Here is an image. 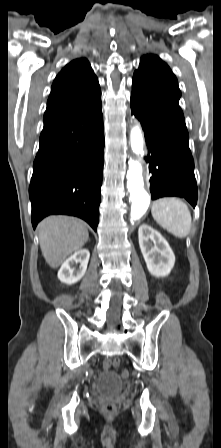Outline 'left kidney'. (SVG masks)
Returning <instances> with one entry per match:
<instances>
[{
  "label": "left kidney",
  "instance_id": "1",
  "mask_svg": "<svg viewBox=\"0 0 221 448\" xmlns=\"http://www.w3.org/2000/svg\"><path fill=\"white\" fill-rule=\"evenodd\" d=\"M138 237L149 272L155 277L169 275L175 264V255L166 239L146 224L140 226Z\"/></svg>",
  "mask_w": 221,
  "mask_h": 448
}]
</instances>
